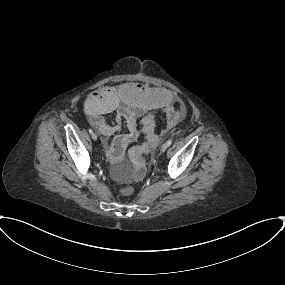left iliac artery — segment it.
<instances>
[{"mask_svg":"<svg viewBox=\"0 0 285 285\" xmlns=\"http://www.w3.org/2000/svg\"><path fill=\"white\" fill-rule=\"evenodd\" d=\"M167 144H168V146H170V145L172 144V139H169V140L167 141Z\"/></svg>","mask_w":285,"mask_h":285,"instance_id":"1","label":"left iliac artery"}]
</instances>
